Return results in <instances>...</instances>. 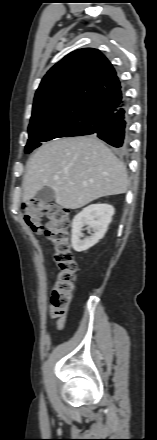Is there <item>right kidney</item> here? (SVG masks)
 Here are the masks:
<instances>
[{"mask_svg":"<svg viewBox=\"0 0 157 440\" xmlns=\"http://www.w3.org/2000/svg\"><path fill=\"white\" fill-rule=\"evenodd\" d=\"M115 209L109 204H92L78 213L72 222V247L77 252H83L94 246L102 239L112 221ZM92 229L91 236L83 237L82 228Z\"/></svg>","mask_w":157,"mask_h":440,"instance_id":"ca27d5eb","label":"right kidney"}]
</instances>
